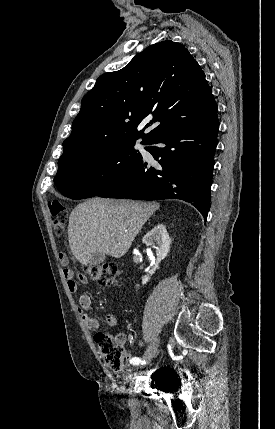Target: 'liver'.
<instances>
[{
	"label": "liver",
	"mask_w": 275,
	"mask_h": 429,
	"mask_svg": "<svg viewBox=\"0 0 275 429\" xmlns=\"http://www.w3.org/2000/svg\"><path fill=\"white\" fill-rule=\"evenodd\" d=\"M156 202L91 198L71 212L68 225L70 249L83 265L94 253L124 256L149 217Z\"/></svg>",
	"instance_id": "6515ba94"
}]
</instances>
